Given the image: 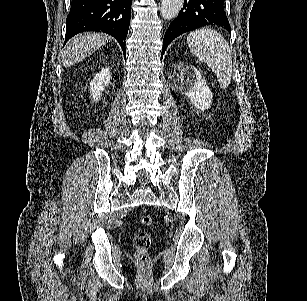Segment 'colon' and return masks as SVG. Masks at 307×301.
Wrapping results in <instances>:
<instances>
[{"label":"colon","instance_id":"1","mask_svg":"<svg viewBox=\"0 0 307 301\" xmlns=\"http://www.w3.org/2000/svg\"><path fill=\"white\" fill-rule=\"evenodd\" d=\"M140 224L144 227H150L153 224V219L150 215H142L140 217ZM152 244V238L147 232L137 233L134 237V246L136 248L137 260L144 264L149 259L148 250Z\"/></svg>","mask_w":307,"mask_h":301}]
</instances>
